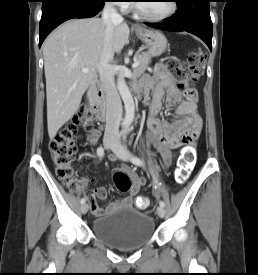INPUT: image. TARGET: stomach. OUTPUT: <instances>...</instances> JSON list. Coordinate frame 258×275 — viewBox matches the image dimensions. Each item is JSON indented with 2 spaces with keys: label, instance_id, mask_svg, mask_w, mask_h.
Masks as SVG:
<instances>
[{
  "label": "stomach",
  "instance_id": "0dacf381",
  "mask_svg": "<svg viewBox=\"0 0 258 275\" xmlns=\"http://www.w3.org/2000/svg\"><path fill=\"white\" fill-rule=\"evenodd\" d=\"M135 32L137 37L147 46V53L150 56H159L166 50L167 39L160 31L139 28Z\"/></svg>",
  "mask_w": 258,
  "mask_h": 275
}]
</instances>
